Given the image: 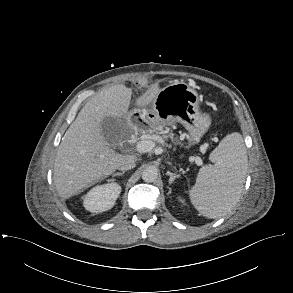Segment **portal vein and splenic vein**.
<instances>
[{"mask_svg":"<svg viewBox=\"0 0 293 293\" xmlns=\"http://www.w3.org/2000/svg\"><path fill=\"white\" fill-rule=\"evenodd\" d=\"M155 147V143L151 140H141L137 142L136 149L140 153H146L151 151ZM192 161H195L197 165H202V159L200 157H193Z\"/></svg>","mask_w":293,"mask_h":293,"instance_id":"18ae733b","label":"portal vein and splenic vein"}]
</instances>
